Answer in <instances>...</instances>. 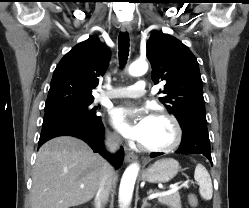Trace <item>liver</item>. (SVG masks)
<instances>
[{"label": "liver", "mask_w": 249, "mask_h": 208, "mask_svg": "<svg viewBox=\"0 0 249 208\" xmlns=\"http://www.w3.org/2000/svg\"><path fill=\"white\" fill-rule=\"evenodd\" d=\"M106 163L80 139L60 136L49 140L37 153L31 208H69L90 201L98 191ZM115 181L113 172L112 184Z\"/></svg>", "instance_id": "6515ba94"}]
</instances>
